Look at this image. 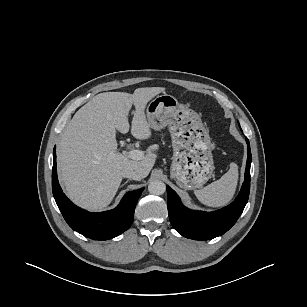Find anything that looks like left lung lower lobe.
I'll return each instance as SVG.
<instances>
[{"instance_id":"1","label":"left lung lower lobe","mask_w":307,"mask_h":307,"mask_svg":"<svg viewBox=\"0 0 307 307\" xmlns=\"http://www.w3.org/2000/svg\"><path fill=\"white\" fill-rule=\"evenodd\" d=\"M246 143L248 158L245 180L239 195L230 205L212 212L190 210L182 205L175 191L167 186L169 218L178 233L194 240H208L224 234L236 223L247 204L250 192L251 150L247 138Z\"/></svg>"}]
</instances>
